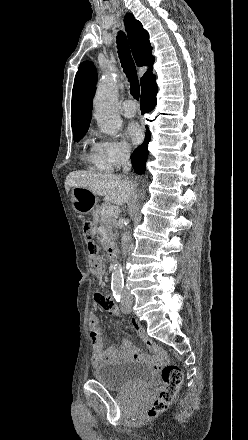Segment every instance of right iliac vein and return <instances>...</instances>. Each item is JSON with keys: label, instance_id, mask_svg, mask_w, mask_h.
Instances as JSON below:
<instances>
[{"label": "right iliac vein", "instance_id": "obj_1", "mask_svg": "<svg viewBox=\"0 0 248 440\" xmlns=\"http://www.w3.org/2000/svg\"><path fill=\"white\" fill-rule=\"evenodd\" d=\"M129 302L132 304V301H131V300H129Z\"/></svg>", "mask_w": 248, "mask_h": 440}]
</instances>
